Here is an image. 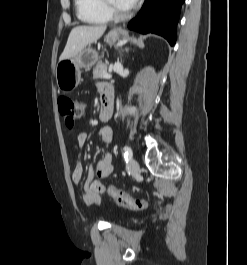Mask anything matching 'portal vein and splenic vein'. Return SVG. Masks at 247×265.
Instances as JSON below:
<instances>
[{"label": "portal vein and splenic vein", "mask_w": 247, "mask_h": 265, "mask_svg": "<svg viewBox=\"0 0 247 265\" xmlns=\"http://www.w3.org/2000/svg\"><path fill=\"white\" fill-rule=\"evenodd\" d=\"M112 76L110 74H104V78L110 79Z\"/></svg>", "instance_id": "obj_1"}]
</instances>
